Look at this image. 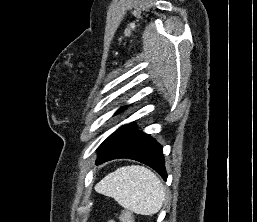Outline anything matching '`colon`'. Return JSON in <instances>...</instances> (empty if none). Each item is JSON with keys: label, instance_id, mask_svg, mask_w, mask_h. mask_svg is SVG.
Returning a JSON list of instances; mask_svg holds the SVG:
<instances>
[{"label": "colon", "instance_id": "obj_1", "mask_svg": "<svg viewBox=\"0 0 257 222\" xmlns=\"http://www.w3.org/2000/svg\"><path fill=\"white\" fill-rule=\"evenodd\" d=\"M121 222H133V214L129 210H123L120 215Z\"/></svg>", "mask_w": 257, "mask_h": 222}]
</instances>
